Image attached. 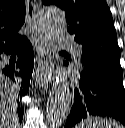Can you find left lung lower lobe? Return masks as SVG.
Here are the masks:
<instances>
[{
  "instance_id": "left-lung-lower-lobe-1",
  "label": "left lung lower lobe",
  "mask_w": 125,
  "mask_h": 128,
  "mask_svg": "<svg viewBox=\"0 0 125 128\" xmlns=\"http://www.w3.org/2000/svg\"><path fill=\"white\" fill-rule=\"evenodd\" d=\"M65 64L68 65L67 62ZM118 64L80 70L74 101L64 128H71L89 116H110L125 125V90Z\"/></svg>"
}]
</instances>
